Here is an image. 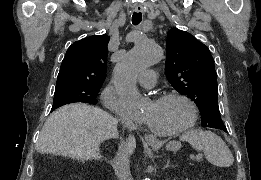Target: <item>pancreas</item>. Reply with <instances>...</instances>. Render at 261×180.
Here are the masks:
<instances>
[{
	"label": "pancreas",
	"instance_id": "pancreas-1",
	"mask_svg": "<svg viewBox=\"0 0 261 180\" xmlns=\"http://www.w3.org/2000/svg\"><path fill=\"white\" fill-rule=\"evenodd\" d=\"M168 150H170L169 146H168ZM195 163H198V162H195Z\"/></svg>",
	"mask_w": 261,
	"mask_h": 180
}]
</instances>
